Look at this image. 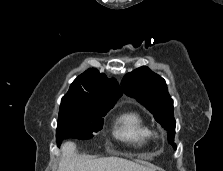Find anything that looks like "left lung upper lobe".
Listing matches in <instances>:
<instances>
[{"mask_svg": "<svg viewBox=\"0 0 223 171\" xmlns=\"http://www.w3.org/2000/svg\"><path fill=\"white\" fill-rule=\"evenodd\" d=\"M123 91L148 109L155 120L167 131L168 142L173 145L175 136V119L173 100L170 97L165 80L142 66L124 76Z\"/></svg>", "mask_w": 223, "mask_h": 171, "instance_id": "left-lung-upper-lobe-1", "label": "left lung upper lobe"}]
</instances>
